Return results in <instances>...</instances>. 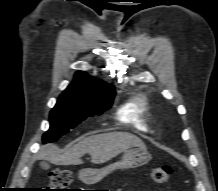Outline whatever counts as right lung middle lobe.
<instances>
[{
  "instance_id": "dd1d6c3e",
  "label": "right lung middle lobe",
  "mask_w": 218,
  "mask_h": 191,
  "mask_svg": "<svg viewBox=\"0 0 218 191\" xmlns=\"http://www.w3.org/2000/svg\"><path fill=\"white\" fill-rule=\"evenodd\" d=\"M113 97L95 99L62 93L50 112V129L43 135V142L56 141L88 116L100 115L112 105Z\"/></svg>"
}]
</instances>
